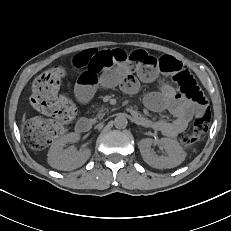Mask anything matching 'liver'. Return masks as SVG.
Returning a JSON list of instances; mask_svg holds the SVG:
<instances>
[{
  "label": "liver",
  "instance_id": "6515ba94",
  "mask_svg": "<svg viewBox=\"0 0 231 231\" xmlns=\"http://www.w3.org/2000/svg\"><path fill=\"white\" fill-rule=\"evenodd\" d=\"M23 122H24V118H23ZM24 124L22 125V128H23Z\"/></svg>",
  "mask_w": 231,
  "mask_h": 231
}]
</instances>
